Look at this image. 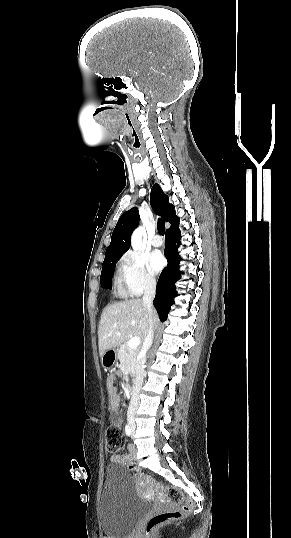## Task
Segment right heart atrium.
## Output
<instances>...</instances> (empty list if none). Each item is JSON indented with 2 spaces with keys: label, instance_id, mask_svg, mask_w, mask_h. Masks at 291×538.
Returning a JSON list of instances; mask_svg holds the SVG:
<instances>
[{
  "label": "right heart atrium",
  "instance_id": "obj_1",
  "mask_svg": "<svg viewBox=\"0 0 291 538\" xmlns=\"http://www.w3.org/2000/svg\"><path fill=\"white\" fill-rule=\"evenodd\" d=\"M119 266L129 294L139 296L156 286V280L148 272L146 259L141 254L133 251L126 252Z\"/></svg>",
  "mask_w": 291,
  "mask_h": 538
}]
</instances>
